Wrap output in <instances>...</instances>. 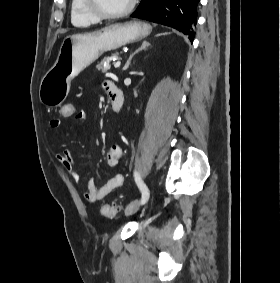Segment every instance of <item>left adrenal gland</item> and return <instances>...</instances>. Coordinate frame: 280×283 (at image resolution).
I'll return each instance as SVG.
<instances>
[{
    "mask_svg": "<svg viewBox=\"0 0 280 283\" xmlns=\"http://www.w3.org/2000/svg\"><path fill=\"white\" fill-rule=\"evenodd\" d=\"M150 46V43L147 41H144L141 46L130 55L129 59L127 60L125 66L123 67V70H127V68L129 67L132 58L134 57L135 54H137L138 52L142 51V50H146L148 47Z\"/></svg>",
    "mask_w": 280,
    "mask_h": 283,
    "instance_id": "obj_1",
    "label": "left adrenal gland"
}]
</instances>
